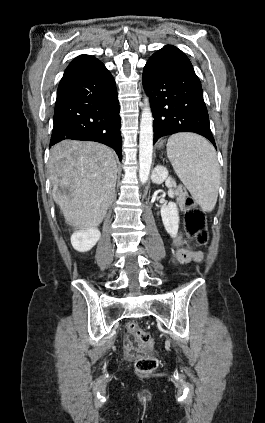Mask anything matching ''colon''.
Segmentation results:
<instances>
[{"label":"colon","instance_id":"obj_1","mask_svg":"<svg viewBox=\"0 0 265 423\" xmlns=\"http://www.w3.org/2000/svg\"><path fill=\"white\" fill-rule=\"evenodd\" d=\"M185 205V230L198 244L205 245L208 241L205 213L196 205L195 200L191 197L186 199ZM127 330L136 337L141 349H150L152 347L151 335L142 330L137 323H128ZM157 367L158 360L155 357H140L136 361V368L141 373L153 372Z\"/></svg>","mask_w":265,"mask_h":423}]
</instances>
